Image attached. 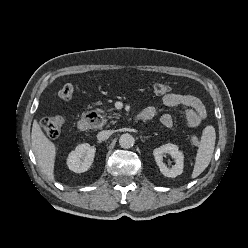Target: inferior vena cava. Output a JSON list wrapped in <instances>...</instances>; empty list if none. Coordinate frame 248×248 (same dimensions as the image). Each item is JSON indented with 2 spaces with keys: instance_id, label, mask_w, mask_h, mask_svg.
I'll list each match as a JSON object with an SVG mask.
<instances>
[{
  "instance_id": "inferior-vena-cava-1",
  "label": "inferior vena cava",
  "mask_w": 248,
  "mask_h": 248,
  "mask_svg": "<svg viewBox=\"0 0 248 248\" xmlns=\"http://www.w3.org/2000/svg\"><path fill=\"white\" fill-rule=\"evenodd\" d=\"M112 134V131L110 130H103L97 134V139L99 141L107 140Z\"/></svg>"
}]
</instances>
